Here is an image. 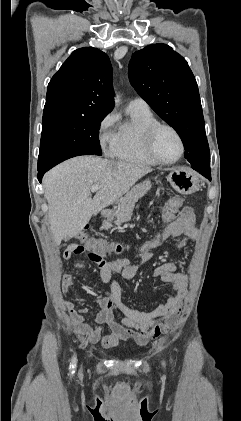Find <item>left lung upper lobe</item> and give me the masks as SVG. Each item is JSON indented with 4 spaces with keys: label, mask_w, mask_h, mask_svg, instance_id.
I'll use <instances>...</instances> for the list:
<instances>
[{
    "label": "left lung upper lobe",
    "mask_w": 241,
    "mask_h": 421,
    "mask_svg": "<svg viewBox=\"0 0 241 421\" xmlns=\"http://www.w3.org/2000/svg\"><path fill=\"white\" fill-rule=\"evenodd\" d=\"M129 78L137 93L179 134L189 162L210 165L198 86L187 61L166 44L132 55Z\"/></svg>",
    "instance_id": "1"
}]
</instances>
